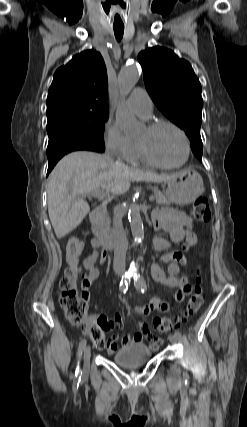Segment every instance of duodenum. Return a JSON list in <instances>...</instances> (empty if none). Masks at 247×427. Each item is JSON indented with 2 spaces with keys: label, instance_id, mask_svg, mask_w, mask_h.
<instances>
[{
  "label": "duodenum",
  "instance_id": "1",
  "mask_svg": "<svg viewBox=\"0 0 247 427\" xmlns=\"http://www.w3.org/2000/svg\"><path fill=\"white\" fill-rule=\"evenodd\" d=\"M105 213L104 206H98L90 214L91 229L94 235V240L105 249L113 247V240L105 231L103 226V216Z\"/></svg>",
  "mask_w": 247,
  "mask_h": 427
}]
</instances>
